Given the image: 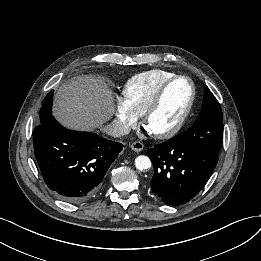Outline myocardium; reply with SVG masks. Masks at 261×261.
Segmentation results:
<instances>
[{
	"instance_id": "f54148a6",
	"label": "myocardium",
	"mask_w": 261,
	"mask_h": 261,
	"mask_svg": "<svg viewBox=\"0 0 261 261\" xmlns=\"http://www.w3.org/2000/svg\"><path fill=\"white\" fill-rule=\"evenodd\" d=\"M180 79L188 80L190 85H191V97H190L189 103H188L185 111L183 112L179 121L172 128L165 130V131H162V132L151 131L149 129V126H148L149 120L151 119V117L154 115V113L161 106L162 101L165 97V94L167 93V91L171 87V85L174 84L176 81H178ZM195 98H196V88H195V84H194L193 80L187 75H175L174 77L169 79L167 82H165L161 86V88L158 90L155 97L153 98V100L151 101V103L149 104V106L147 107L145 112L143 113L142 120H143L144 128L153 137H155L157 139H168V138L173 137L183 128L184 124L186 123V121H187V119H188V117H189V115H190V113L193 109Z\"/></svg>"
}]
</instances>
